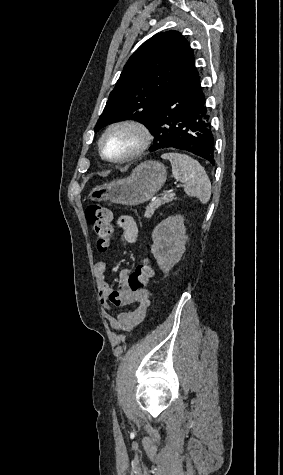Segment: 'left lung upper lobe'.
Segmentation results:
<instances>
[{
  "label": "left lung upper lobe",
  "instance_id": "left-lung-upper-lobe-1",
  "mask_svg": "<svg viewBox=\"0 0 283 475\" xmlns=\"http://www.w3.org/2000/svg\"><path fill=\"white\" fill-rule=\"evenodd\" d=\"M194 60L188 41L178 31L159 33L148 39L125 64L95 132L126 119L147 127L164 96L196 70Z\"/></svg>",
  "mask_w": 283,
  "mask_h": 475
}]
</instances>
